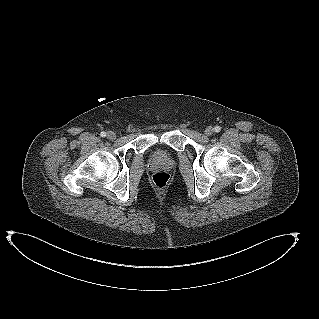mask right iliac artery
Instances as JSON below:
<instances>
[{
    "label": "right iliac artery",
    "instance_id": "82829eb1",
    "mask_svg": "<svg viewBox=\"0 0 319 319\" xmlns=\"http://www.w3.org/2000/svg\"><path fill=\"white\" fill-rule=\"evenodd\" d=\"M100 136H101V137H105V136H106V132H104V131L101 132V133H100Z\"/></svg>",
    "mask_w": 319,
    "mask_h": 319
}]
</instances>
